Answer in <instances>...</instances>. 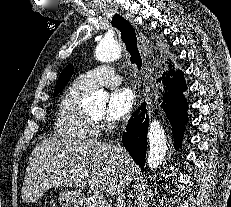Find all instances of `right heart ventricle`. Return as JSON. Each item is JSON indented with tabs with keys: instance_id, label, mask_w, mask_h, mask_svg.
I'll return each instance as SVG.
<instances>
[{
	"instance_id": "right-heart-ventricle-1",
	"label": "right heart ventricle",
	"mask_w": 231,
	"mask_h": 207,
	"mask_svg": "<svg viewBox=\"0 0 231 207\" xmlns=\"http://www.w3.org/2000/svg\"><path fill=\"white\" fill-rule=\"evenodd\" d=\"M88 91L73 84L63 95L55 117L54 133L67 141L81 142L97 135L98 125L82 109Z\"/></svg>"
}]
</instances>
